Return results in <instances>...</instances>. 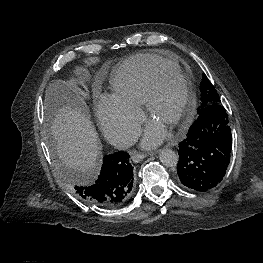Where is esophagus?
Segmentation results:
<instances>
[{
	"instance_id": "1",
	"label": "esophagus",
	"mask_w": 263,
	"mask_h": 263,
	"mask_svg": "<svg viewBox=\"0 0 263 263\" xmlns=\"http://www.w3.org/2000/svg\"><path fill=\"white\" fill-rule=\"evenodd\" d=\"M157 152L158 151H153V152H148L146 154V153H140L134 150L131 152V158L133 162L138 163L139 161L143 160L147 155H154Z\"/></svg>"
}]
</instances>
